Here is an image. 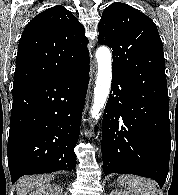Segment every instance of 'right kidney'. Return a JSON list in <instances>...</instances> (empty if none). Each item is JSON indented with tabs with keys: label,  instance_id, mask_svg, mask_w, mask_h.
I'll list each match as a JSON object with an SVG mask.
<instances>
[{
	"label": "right kidney",
	"instance_id": "obj_1",
	"mask_svg": "<svg viewBox=\"0 0 178 195\" xmlns=\"http://www.w3.org/2000/svg\"><path fill=\"white\" fill-rule=\"evenodd\" d=\"M29 195H62V188L58 184H44Z\"/></svg>",
	"mask_w": 178,
	"mask_h": 195
}]
</instances>
